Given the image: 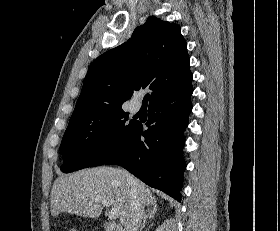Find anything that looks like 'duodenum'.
<instances>
[{
    "instance_id": "obj_1",
    "label": "duodenum",
    "mask_w": 280,
    "mask_h": 231,
    "mask_svg": "<svg viewBox=\"0 0 280 231\" xmlns=\"http://www.w3.org/2000/svg\"><path fill=\"white\" fill-rule=\"evenodd\" d=\"M103 227L104 231H123L122 227L108 220L103 221Z\"/></svg>"
}]
</instances>
